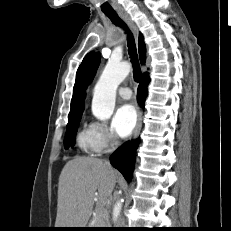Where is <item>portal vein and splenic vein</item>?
<instances>
[{"instance_id":"1","label":"portal vein and splenic vein","mask_w":231,"mask_h":231,"mask_svg":"<svg viewBox=\"0 0 231 231\" xmlns=\"http://www.w3.org/2000/svg\"><path fill=\"white\" fill-rule=\"evenodd\" d=\"M97 204L99 207H101V206H103V201H98Z\"/></svg>"}]
</instances>
